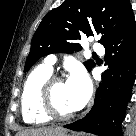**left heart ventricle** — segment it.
Segmentation results:
<instances>
[{
	"mask_svg": "<svg viewBox=\"0 0 136 136\" xmlns=\"http://www.w3.org/2000/svg\"><path fill=\"white\" fill-rule=\"evenodd\" d=\"M53 100L56 109L63 114L75 111L69 95L66 82H60L55 85L53 90Z\"/></svg>",
	"mask_w": 136,
	"mask_h": 136,
	"instance_id": "1",
	"label": "left heart ventricle"
}]
</instances>
